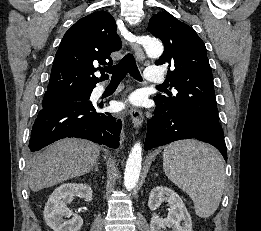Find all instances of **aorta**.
Segmentation results:
<instances>
[{
    "label": "aorta",
    "mask_w": 261,
    "mask_h": 231,
    "mask_svg": "<svg viewBox=\"0 0 261 231\" xmlns=\"http://www.w3.org/2000/svg\"><path fill=\"white\" fill-rule=\"evenodd\" d=\"M145 50L149 57L157 58L163 53V45L158 41H150L145 44ZM142 163V146L136 143L128 156L124 173V186L126 190H132L139 179Z\"/></svg>",
    "instance_id": "obj_1"
}]
</instances>
